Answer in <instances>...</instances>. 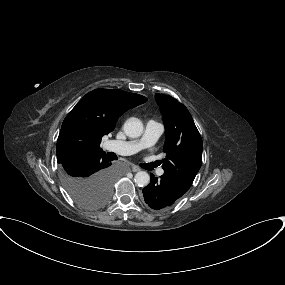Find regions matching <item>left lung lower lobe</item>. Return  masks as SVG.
I'll return each instance as SVG.
<instances>
[{"mask_svg":"<svg viewBox=\"0 0 285 285\" xmlns=\"http://www.w3.org/2000/svg\"><path fill=\"white\" fill-rule=\"evenodd\" d=\"M188 189L170 175L164 173L159 179L151 174V181L142 192L146 204L160 210L172 206Z\"/></svg>","mask_w":285,"mask_h":285,"instance_id":"0a47b994","label":"left lung lower lobe"}]
</instances>
